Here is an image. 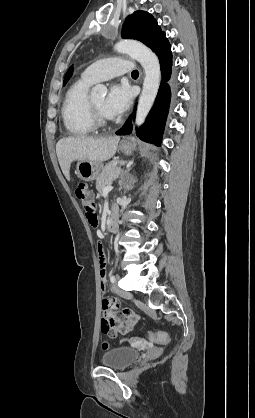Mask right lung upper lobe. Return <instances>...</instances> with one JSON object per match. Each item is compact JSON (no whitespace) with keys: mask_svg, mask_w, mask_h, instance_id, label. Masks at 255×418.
Returning a JSON list of instances; mask_svg holds the SVG:
<instances>
[{"mask_svg":"<svg viewBox=\"0 0 255 418\" xmlns=\"http://www.w3.org/2000/svg\"><path fill=\"white\" fill-rule=\"evenodd\" d=\"M72 72H73V67H70V69L68 70V72H67V74H66V76H65V79H64V84H66V82L69 80V78L71 77V75H72Z\"/></svg>","mask_w":255,"mask_h":418,"instance_id":"right-lung-upper-lobe-1","label":"right lung upper lobe"}]
</instances>
